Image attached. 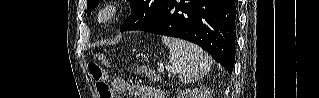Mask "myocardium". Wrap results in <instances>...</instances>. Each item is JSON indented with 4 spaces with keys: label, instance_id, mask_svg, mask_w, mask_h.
Returning <instances> with one entry per match:
<instances>
[{
    "label": "myocardium",
    "instance_id": "obj_1",
    "mask_svg": "<svg viewBox=\"0 0 319 98\" xmlns=\"http://www.w3.org/2000/svg\"><path fill=\"white\" fill-rule=\"evenodd\" d=\"M120 12L121 8L118 5L114 3L106 4L99 10L98 20L104 24L111 23L118 17Z\"/></svg>",
    "mask_w": 319,
    "mask_h": 98
}]
</instances>
